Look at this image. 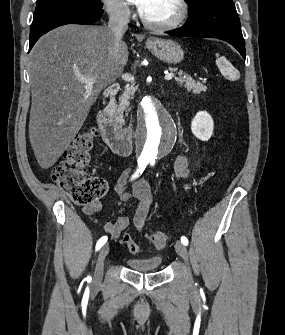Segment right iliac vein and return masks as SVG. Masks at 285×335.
Segmentation results:
<instances>
[{"label":"right iliac vein","instance_id":"63e3f726","mask_svg":"<svg viewBox=\"0 0 285 335\" xmlns=\"http://www.w3.org/2000/svg\"><path fill=\"white\" fill-rule=\"evenodd\" d=\"M108 253H109L108 245H104L98 254L95 274L93 278V285L99 286L102 282L104 273V261Z\"/></svg>","mask_w":285,"mask_h":335}]
</instances>
